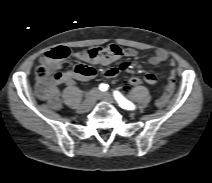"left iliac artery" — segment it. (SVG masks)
Listing matches in <instances>:
<instances>
[{"label": "left iliac artery", "instance_id": "obj_1", "mask_svg": "<svg viewBox=\"0 0 212 183\" xmlns=\"http://www.w3.org/2000/svg\"><path fill=\"white\" fill-rule=\"evenodd\" d=\"M113 95H114V98L116 99V101L118 102V104L123 109H127V110L135 109V105L132 102H130L129 100H127L120 92L114 91Z\"/></svg>", "mask_w": 212, "mask_h": 183}]
</instances>
